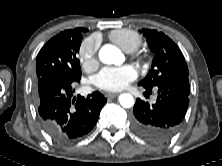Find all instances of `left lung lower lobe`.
Returning <instances> with one entry per match:
<instances>
[{
	"label": "left lung lower lobe",
	"instance_id": "0a47b994",
	"mask_svg": "<svg viewBox=\"0 0 222 166\" xmlns=\"http://www.w3.org/2000/svg\"><path fill=\"white\" fill-rule=\"evenodd\" d=\"M156 103L137 99L131 127L141 138L152 143L170 140L180 129L189 104L190 86L186 79H167L159 83ZM150 91L151 88H145Z\"/></svg>",
	"mask_w": 222,
	"mask_h": 166
}]
</instances>
